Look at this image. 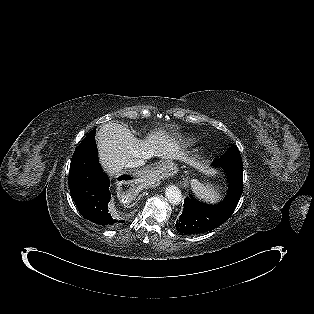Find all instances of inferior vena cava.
Wrapping results in <instances>:
<instances>
[{"mask_svg":"<svg viewBox=\"0 0 314 314\" xmlns=\"http://www.w3.org/2000/svg\"><path fill=\"white\" fill-rule=\"evenodd\" d=\"M144 164H145V161L143 159H137V160L127 163L126 167L134 168V167L143 166Z\"/></svg>","mask_w":314,"mask_h":314,"instance_id":"1","label":"inferior vena cava"}]
</instances>
